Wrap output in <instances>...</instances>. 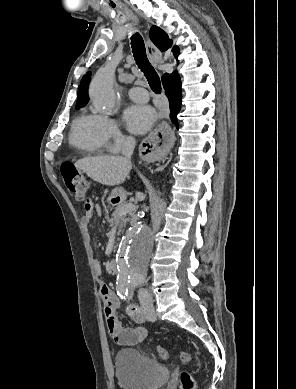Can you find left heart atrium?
Returning <instances> with one entry per match:
<instances>
[{
	"mask_svg": "<svg viewBox=\"0 0 296 389\" xmlns=\"http://www.w3.org/2000/svg\"><path fill=\"white\" fill-rule=\"evenodd\" d=\"M124 120L131 132L144 134L154 125L156 113L150 106L133 104L125 109Z\"/></svg>",
	"mask_w": 296,
	"mask_h": 389,
	"instance_id": "left-heart-atrium-1",
	"label": "left heart atrium"
}]
</instances>
